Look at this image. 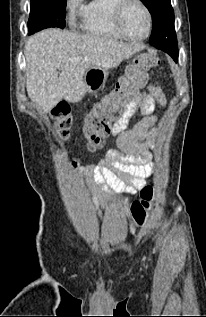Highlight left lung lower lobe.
Listing matches in <instances>:
<instances>
[{
	"mask_svg": "<svg viewBox=\"0 0 206 317\" xmlns=\"http://www.w3.org/2000/svg\"><path fill=\"white\" fill-rule=\"evenodd\" d=\"M153 46V45H152ZM154 47L168 53L169 55L172 56V58L177 61L178 59V46L172 43H164V44H158L155 45Z\"/></svg>",
	"mask_w": 206,
	"mask_h": 317,
	"instance_id": "left-lung-lower-lobe-1",
	"label": "left lung lower lobe"
}]
</instances>
